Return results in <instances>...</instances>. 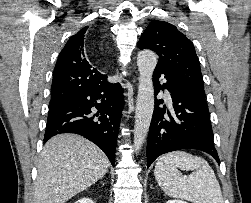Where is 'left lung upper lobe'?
Instances as JSON below:
<instances>
[{"instance_id":"obj_1","label":"left lung upper lobe","mask_w":251,"mask_h":203,"mask_svg":"<svg viewBox=\"0 0 251 203\" xmlns=\"http://www.w3.org/2000/svg\"><path fill=\"white\" fill-rule=\"evenodd\" d=\"M138 46L159 56L156 68H162L189 85L205 98L200 64L192 42L177 28L164 21H152L143 32Z\"/></svg>"}]
</instances>
